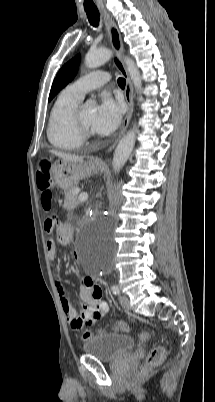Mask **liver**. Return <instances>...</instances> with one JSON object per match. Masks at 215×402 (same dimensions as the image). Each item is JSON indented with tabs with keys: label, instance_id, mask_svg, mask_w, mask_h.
Here are the masks:
<instances>
[{
	"label": "liver",
	"instance_id": "1",
	"mask_svg": "<svg viewBox=\"0 0 215 402\" xmlns=\"http://www.w3.org/2000/svg\"><path fill=\"white\" fill-rule=\"evenodd\" d=\"M51 152L64 161L73 162V161L83 160V157H79L77 155L66 154V153H62V152H58V151H51Z\"/></svg>",
	"mask_w": 215,
	"mask_h": 402
}]
</instances>
